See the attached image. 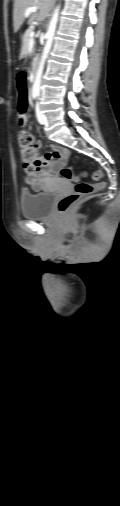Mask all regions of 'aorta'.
Returning <instances> with one entry per match:
<instances>
[{
	"instance_id": "aorta-1",
	"label": "aorta",
	"mask_w": 120,
	"mask_h": 506,
	"mask_svg": "<svg viewBox=\"0 0 120 506\" xmlns=\"http://www.w3.org/2000/svg\"><path fill=\"white\" fill-rule=\"evenodd\" d=\"M58 13H59V8H57L55 10L54 15L50 21L49 26H48L47 33H46V43L43 48V52L41 55V59H40L39 65H38V69L36 71L35 80H34L33 87H32V93H33V95H36V96L40 94V87H41L43 70H44L46 59L48 57V54L50 52V49H51V46L53 43V39H54L56 27H57V22H58Z\"/></svg>"
}]
</instances>
